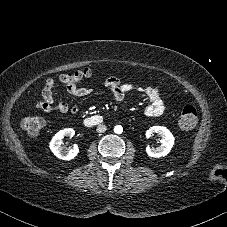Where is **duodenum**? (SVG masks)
Here are the masks:
<instances>
[{
  "mask_svg": "<svg viewBox=\"0 0 227 227\" xmlns=\"http://www.w3.org/2000/svg\"><path fill=\"white\" fill-rule=\"evenodd\" d=\"M104 118L100 115H92L84 119V124L88 127H93L103 123Z\"/></svg>",
  "mask_w": 227,
  "mask_h": 227,
  "instance_id": "410a0bca",
  "label": "duodenum"
}]
</instances>
